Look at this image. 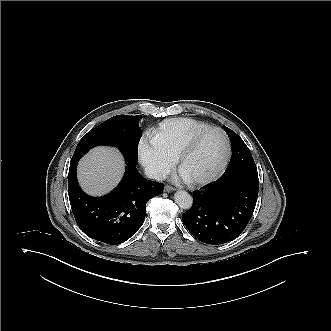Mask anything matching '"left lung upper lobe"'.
Returning a JSON list of instances; mask_svg holds the SVG:
<instances>
[{
	"label": "left lung upper lobe",
	"instance_id": "obj_1",
	"mask_svg": "<svg viewBox=\"0 0 331 331\" xmlns=\"http://www.w3.org/2000/svg\"><path fill=\"white\" fill-rule=\"evenodd\" d=\"M224 129L230 138L232 147L231 160L224 174L236 171L257 173V167L246 144L234 131L226 126Z\"/></svg>",
	"mask_w": 331,
	"mask_h": 331
}]
</instances>
